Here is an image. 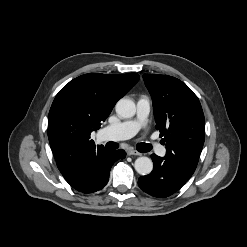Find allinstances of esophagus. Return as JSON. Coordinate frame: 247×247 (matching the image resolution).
I'll use <instances>...</instances> for the list:
<instances>
[{
  "instance_id": "34e87169",
  "label": "esophagus",
  "mask_w": 247,
  "mask_h": 247,
  "mask_svg": "<svg viewBox=\"0 0 247 247\" xmlns=\"http://www.w3.org/2000/svg\"><path fill=\"white\" fill-rule=\"evenodd\" d=\"M127 154H128V155H135V156H140V155H141L140 152H138V151H136V150H133V149H129V150L127 151Z\"/></svg>"
}]
</instances>
